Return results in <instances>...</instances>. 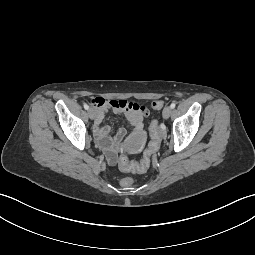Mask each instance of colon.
<instances>
[{"label": "colon", "instance_id": "1", "mask_svg": "<svg viewBox=\"0 0 255 255\" xmlns=\"http://www.w3.org/2000/svg\"><path fill=\"white\" fill-rule=\"evenodd\" d=\"M162 106H163V102L161 101H155L152 103V107L154 109H160L162 108ZM149 131H150L152 140L148 148L145 150L143 158L140 161V163L129 161L126 156L122 155L119 158V165L122 170L126 172L141 173V172H145L149 168L151 158L156 152L161 140V136H162V129L159 126L157 120H151L149 124ZM120 184L122 187H125V188L132 187L134 184V179L129 176L124 177L121 179Z\"/></svg>", "mask_w": 255, "mask_h": 255}]
</instances>
